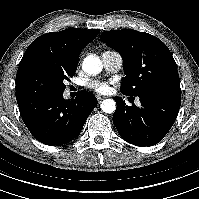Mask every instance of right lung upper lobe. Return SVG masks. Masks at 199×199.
I'll list each match as a JSON object with an SVG mask.
<instances>
[{
	"mask_svg": "<svg viewBox=\"0 0 199 199\" xmlns=\"http://www.w3.org/2000/svg\"><path fill=\"white\" fill-rule=\"evenodd\" d=\"M99 29L71 28L56 33H46L35 39L26 49L20 65L38 59L64 71L77 68L78 56L92 42Z\"/></svg>",
	"mask_w": 199,
	"mask_h": 199,
	"instance_id": "obj_1",
	"label": "right lung upper lobe"
}]
</instances>
